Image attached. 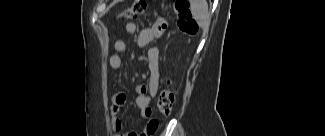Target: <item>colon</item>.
Here are the masks:
<instances>
[{"label":"colon","mask_w":325,"mask_h":136,"mask_svg":"<svg viewBox=\"0 0 325 136\" xmlns=\"http://www.w3.org/2000/svg\"><path fill=\"white\" fill-rule=\"evenodd\" d=\"M146 0H134L132 5L123 12L125 19H135L146 9ZM174 10L178 16V26L181 31L187 34H194L197 31V23L193 19L189 0H175ZM175 95L170 89L161 90L158 96V109L164 116H168L174 107Z\"/></svg>","instance_id":"5ec220e1"}]
</instances>
